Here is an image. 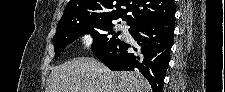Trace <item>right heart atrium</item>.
<instances>
[{"label":"right heart atrium","mask_w":225,"mask_h":92,"mask_svg":"<svg viewBox=\"0 0 225 92\" xmlns=\"http://www.w3.org/2000/svg\"><path fill=\"white\" fill-rule=\"evenodd\" d=\"M94 41H95V35L90 31L85 32L80 36V43L84 47H88L92 45Z\"/></svg>","instance_id":"1"}]
</instances>
